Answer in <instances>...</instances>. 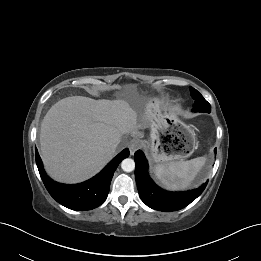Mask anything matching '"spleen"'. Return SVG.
I'll use <instances>...</instances> for the list:
<instances>
[{"label": "spleen", "mask_w": 261, "mask_h": 261, "mask_svg": "<svg viewBox=\"0 0 261 261\" xmlns=\"http://www.w3.org/2000/svg\"><path fill=\"white\" fill-rule=\"evenodd\" d=\"M205 160V157H197L188 161L157 164L153 171L156 177L168 188L184 189L194 180L205 164Z\"/></svg>", "instance_id": "1"}]
</instances>
